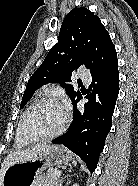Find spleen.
<instances>
[{
	"mask_svg": "<svg viewBox=\"0 0 138 186\" xmlns=\"http://www.w3.org/2000/svg\"><path fill=\"white\" fill-rule=\"evenodd\" d=\"M73 163H74V165H76L77 162L75 160H73Z\"/></svg>",
	"mask_w": 138,
	"mask_h": 186,
	"instance_id": "obj_1",
	"label": "spleen"
}]
</instances>
